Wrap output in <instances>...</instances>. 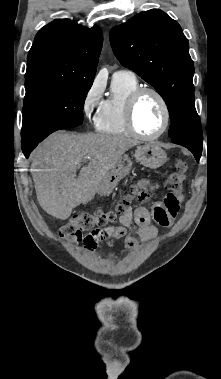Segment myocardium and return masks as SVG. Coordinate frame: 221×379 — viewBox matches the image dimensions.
Listing matches in <instances>:
<instances>
[{"instance_id":"myocardium-1","label":"myocardium","mask_w":221,"mask_h":379,"mask_svg":"<svg viewBox=\"0 0 221 379\" xmlns=\"http://www.w3.org/2000/svg\"><path fill=\"white\" fill-rule=\"evenodd\" d=\"M147 93H150V94L154 95L158 99V101L161 104V107H162V110H163V116H164L163 125H162L161 129L157 133H155L153 135H146V134L141 133L137 129L136 124H135V109H136V105H137L139 99L144 94H147ZM125 121H126V125H127V128L129 130V132L132 135H134V136H136V137H138L140 139H143V140H155V139L160 138L167 131V129L169 127V124H170V110H169V106L167 104L166 99L155 88H151V87H139V88H137L136 90H134L129 95V97H128L127 101H126V105H125Z\"/></svg>"}]
</instances>
